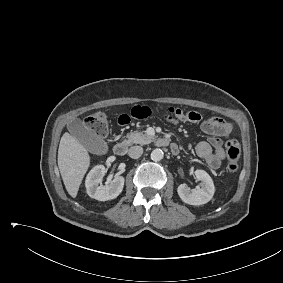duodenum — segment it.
<instances>
[{
	"instance_id": "duodenum-1",
	"label": "duodenum",
	"mask_w": 283,
	"mask_h": 283,
	"mask_svg": "<svg viewBox=\"0 0 283 283\" xmlns=\"http://www.w3.org/2000/svg\"><path fill=\"white\" fill-rule=\"evenodd\" d=\"M122 125V124H121ZM157 144L162 147H166L170 145V149L172 153L177 154L179 152V148L176 144H170L169 140L165 137H161L157 140ZM129 149V145L125 142L117 143L114 148L113 152L116 156H124L126 155Z\"/></svg>"
}]
</instances>
